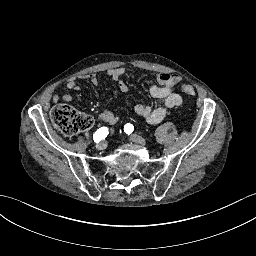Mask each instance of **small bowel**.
Returning <instances> with one entry per match:
<instances>
[{"instance_id": "obj_1", "label": "small bowel", "mask_w": 256, "mask_h": 256, "mask_svg": "<svg viewBox=\"0 0 256 256\" xmlns=\"http://www.w3.org/2000/svg\"><path fill=\"white\" fill-rule=\"evenodd\" d=\"M125 74V68L117 67L107 71V75L118 81V88L126 92L129 87L124 83L121 78ZM80 79H89L90 82L97 86L99 83L97 74L92 73L90 75H82ZM180 82V78L177 75L162 72L157 75V84H153L150 87V94L155 99L156 103L154 105L147 104H137L134 107V112L137 116L145 119L146 122L150 124H157L161 122L167 110L173 107L180 106L182 104L183 98L181 95L175 92V88ZM66 88L69 91H78L80 86L78 85L77 79H70ZM73 99L71 94H65L63 96L54 95L53 102L58 103L60 101L70 102ZM98 119L109 125V133L112 134L115 131V125L117 124L119 118L110 110H104L98 113Z\"/></svg>"}]
</instances>
